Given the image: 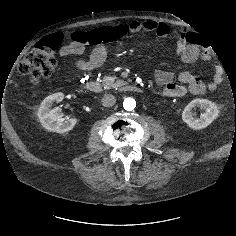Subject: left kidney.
I'll use <instances>...</instances> for the list:
<instances>
[{
  "label": "left kidney",
  "mask_w": 236,
  "mask_h": 236,
  "mask_svg": "<svg viewBox=\"0 0 236 236\" xmlns=\"http://www.w3.org/2000/svg\"><path fill=\"white\" fill-rule=\"evenodd\" d=\"M200 107L205 110L200 115V118L194 117L192 110L196 107ZM219 114V109L214 102L207 99L196 98L192 100L184 109L182 113V120L194 130L206 128L210 125Z\"/></svg>",
  "instance_id": "5707ae66"
}]
</instances>
